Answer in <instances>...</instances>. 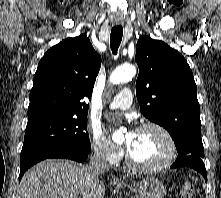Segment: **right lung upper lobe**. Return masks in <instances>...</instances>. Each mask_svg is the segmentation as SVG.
<instances>
[{
    "label": "right lung upper lobe",
    "instance_id": "right-lung-upper-lobe-1",
    "mask_svg": "<svg viewBox=\"0 0 221 198\" xmlns=\"http://www.w3.org/2000/svg\"><path fill=\"white\" fill-rule=\"evenodd\" d=\"M101 57L86 35L68 38L42 57L30 91L28 121L54 115H87Z\"/></svg>",
    "mask_w": 221,
    "mask_h": 198
}]
</instances>
